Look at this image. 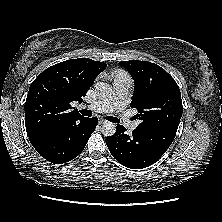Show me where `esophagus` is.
I'll use <instances>...</instances> for the list:
<instances>
[{"instance_id":"34e87169","label":"esophagus","mask_w":222,"mask_h":222,"mask_svg":"<svg viewBox=\"0 0 222 222\" xmlns=\"http://www.w3.org/2000/svg\"><path fill=\"white\" fill-rule=\"evenodd\" d=\"M105 123H107V121H105V120H103V119H100V120H99V124H105Z\"/></svg>"}]
</instances>
